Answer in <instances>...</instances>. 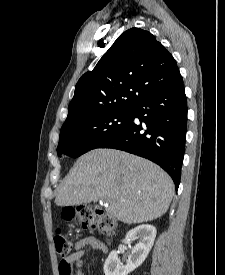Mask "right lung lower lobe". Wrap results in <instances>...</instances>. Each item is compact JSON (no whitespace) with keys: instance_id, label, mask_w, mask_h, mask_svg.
<instances>
[{"instance_id":"obj_1","label":"right lung lower lobe","mask_w":225,"mask_h":275,"mask_svg":"<svg viewBox=\"0 0 225 275\" xmlns=\"http://www.w3.org/2000/svg\"><path fill=\"white\" fill-rule=\"evenodd\" d=\"M137 117L144 124H135ZM187 103L184 85L155 92L131 109L127 125L98 148H115L147 158L180 184L185 150Z\"/></svg>"}]
</instances>
